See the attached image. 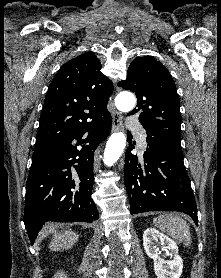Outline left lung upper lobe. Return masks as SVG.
<instances>
[{
	"label": "left lung upper lobe",
	"instance_id": "1",
	"mask_svg": "<svg viewBox=\"0 0 221 278\" xmlns=\"http://www.w3.org/2000/svg\"><path fill=\"white\" fill-rule=\"evenodd\" d=\"M118 86L136 94L139 121L147 137L171 136L181 138L180 103L175 83L161 62L151 57L135 58L127 78Z\"/></svg>",
	"mask_w": 221,
	"mask_h": 278
}]
</instances>
